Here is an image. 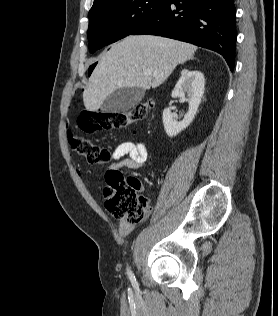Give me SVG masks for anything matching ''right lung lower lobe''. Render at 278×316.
<instances>
[{
  "label": "right lung lower lobe",
  "instance_id": "98d812e1",
  "mask_svg": "<svg viewBox=\"0 0 278 316\" xmlns=\"http://www.w3.org/2000/svg\"><path fill=\"white\" fill-rule=\"evenodd\" d=\"M236 10L233 0H165L131 35H157L221 54L234 69Z\"/></svg>",
  "mask_w": 278,
  "mask_h": 316
}]
</instances>
